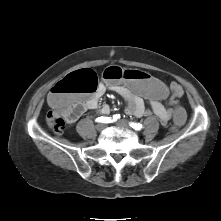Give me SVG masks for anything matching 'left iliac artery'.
<instances>
[{"instance_id": "obj_1", "label": "left iliac artery", "mask_w": 221, "mask_h": 221, "mask_svg": "<svg viewBox=\"0 0 221 221\" xmlns=\"http://www.w3.org/2000/svg\"><path fill=\"white\" fill-rule=\"evenodd\" d=\"M130 126L135 130H141L143 128L142 124L135 122H130Z\"/></svg>"}]
</instances>
